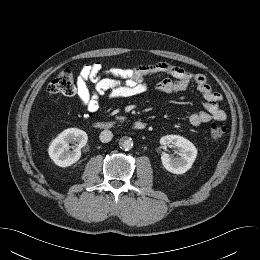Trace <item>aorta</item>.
<instances>
[{
	"label": "aorta",
	"mask_w": 260,
	"mask_h": 260,
	"mask_svg": "<svg viewBox=\"0 0 260 260\" xmlns=\"http://www.w3.org/2000/svg\"><path fill=\"white\" fill-rule=\"evenodd\" d=\"M119 146L120 148H122L123 150H130L133 147V141L131 138H122L119 141Z\"/></svg>",
	"instance_id": "obj_1"
}]
</instances>
